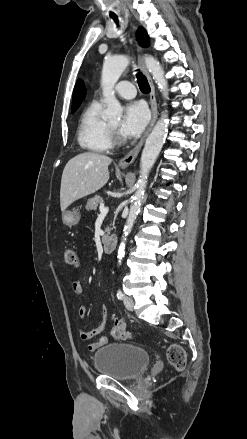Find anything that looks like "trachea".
<instances>
[{"mask_svg":"<svg viewBox=\"0 0 247 439\" xmlns=\"http://www.w3.org/2000/svg\"><path fill=\"white\" fill-rule=\"evenodd\" d=\"M111 17L115 21V23L118 24L117 17H115V16H111ZM136 77H137V82H138L140 90L143 93L148 94L150 92V86H149V83L147 81V78L141 72H138L136 74Z\"/></svg>","mask_w":247,"mask_h":439,"instance_id":"1","label":"trachea"}]
</instances>
